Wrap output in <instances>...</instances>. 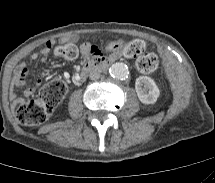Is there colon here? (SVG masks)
Here are the masks:
<instances>
[{
  "instance_id": "1",
  "label": "colon",
  "mask_w": 215,
  "mask_h": 183,
  "mask_svg": "<svg viewBox=\"0 0 215 183\" xmlns=\"http://www.w3.org/2000/svg\"><path fill=\"white\" fill-rule=\"evenodd\" d=\"M107 48L111 52H118L127 58H136V65L142 73H152L157 70L159 61L153 53H145L146 44L143 40L134 39L128 42L111 41ZM91 54H100L96 45L90 44ZM78 48L72 42L58 44L54 48V55L64 59H75ZM67 92L64 81L57 79L44 85L37 96L21 103L16 107L15 115L18 122L24 126L34 127L46 122L54 113Z\"/></svg>"
}]
</instances>
